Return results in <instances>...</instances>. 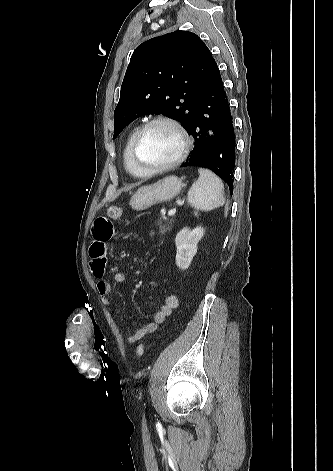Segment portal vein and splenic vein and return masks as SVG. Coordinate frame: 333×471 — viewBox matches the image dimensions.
I'll return each mask as SVG.
<instances>
[{"label": "portal vein and splenic vein", "mask_w": 333, "mask_h": 471, "mask_svg": "<svg viewBox=\"0 0 333 471\" xmlns=\"http://www.w3.org/2000/svg\"><path fill=\"white\" fill-rule=\"evenodd\" d=\"M176 213V208H173L171 209L169 212H168V216H172Z\"/></svg>", "instance_id": "18ae733b"}]
</instances>
